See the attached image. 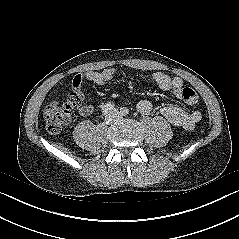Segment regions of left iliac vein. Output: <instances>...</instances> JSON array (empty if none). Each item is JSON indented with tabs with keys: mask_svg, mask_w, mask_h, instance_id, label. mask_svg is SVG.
Instances as JSON below:
<instances>
[{
	"mask_svg": "<svg viewBox=\"0 0 239 239\" xmlns=\"http://www.w3.org/2000/svg\"><path fill=\"white\" fill-rule=\"evenodd\" d=\"M111 113L114 115L116 120L120 119L119 111L117 109H112Z\"/></svg>",
	"mask_w": 239,
	"mask_h": 239,
	"instance_id": "4c4485c4",
	"label": "left iliac vein"
}]
</instances>
